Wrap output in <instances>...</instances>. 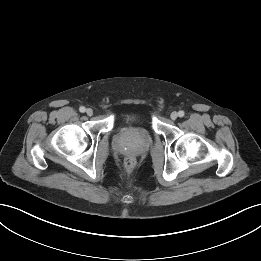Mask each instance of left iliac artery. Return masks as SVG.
I'll return each instance as SVG.
<instances>
[{
	"label": "left iliac artery",
	"mask_w": 261,
	"mask_h": 261,
	"mask_svg": "<svg viewBox=\"0 0 261 261\" xmlns=\"http://www.w3.org/2000/svg\"><path fill=\"white\" fill-rule=\"evenodd\" d=\"M184 114H185V113H184V111H182V110L178 112V116H179V117H183Z\"/></svg>",
	"instance_id": "44dca946"
}]
</instances>
